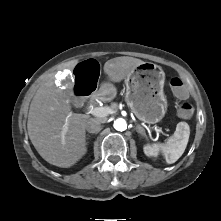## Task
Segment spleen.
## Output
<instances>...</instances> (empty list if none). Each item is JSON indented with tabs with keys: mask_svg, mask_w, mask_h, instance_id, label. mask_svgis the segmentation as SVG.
I'll use <instances>...</instances> for the list:
<instances>
[{
	"mask_svg": "<svg viewBox=\"0 0 221 221\" xmlns=\"http://www.w3.org/2000/svg\"><path fill=\"white\" fill-rule=\"evenodd\" d=\"M190 136V128L186 122H179L172 137L165 144H158L168 164L175 163L184 153Z\"/></svg>",
	"mask_w": 221,
	"mask_h": 221,
	"instance_id": "3e777b00",
	"label": "spleen"
}]
</instances>
